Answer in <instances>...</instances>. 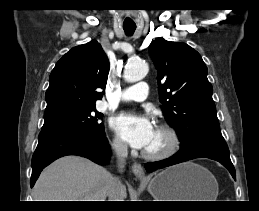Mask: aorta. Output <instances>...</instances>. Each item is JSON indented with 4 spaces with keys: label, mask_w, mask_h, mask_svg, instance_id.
Returning a JSON list of instances; mask_svg holds the SVG:
<instances>
[{
    "label": "aorta",
    "mask_w": 259,
    "mask_h": 211,
    "mask_svg": "<svg viewBox=\"0 0 259 211\" xmlns=\"http://www.w3.org/2000/svg\"><path fill=\"white\" fill-rule=\"evenodd\" d=\"M148 64L142 60L130 62L124 70V78L128 82H137L142 80L148 73Z\"/></svg>",
    "instance_id": "1"
}]
</instances>
